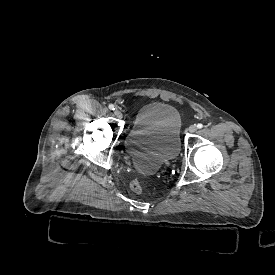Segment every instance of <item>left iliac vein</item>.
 Returning <instances> with one entry per match:
<instances>
[{
  "label": "left iliac vein",
  "mask_w": 275,
  "mask_h": 275,
  "mask_svg": "<svg viewBox=\"0 0 275 275\" xmlns=\"http://www.w3.org/2000/svg\"><path fill=\"white\" fill-rule=\"evenodd\" d=\"M189 133H195L197 131V127L195 125H191L188 128Z\"/></svg>",
  "instance_id": "4c4485c4"
}]
</instances>
